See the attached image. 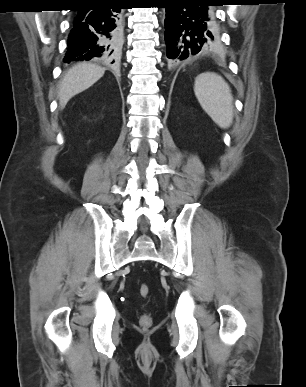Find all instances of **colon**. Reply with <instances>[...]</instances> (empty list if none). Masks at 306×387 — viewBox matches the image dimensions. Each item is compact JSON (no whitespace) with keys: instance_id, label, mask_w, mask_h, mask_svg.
Listing matches in <instances>:
<instances>
[{"instance_id":"1","label":"colon","mask_w":306,"mask_h":387,"mask_svg":"<svg viewBox=\"0 0 306 387\" xmlns=\"http://www.w3.org/2000/svg\"><path fill=\"white\" fill-rule=\"evenodd\" d=\"M150 293V288L147 284L145 283H142L140 286H139V294L146 298ZM152 323H153V320H152V317L151 315L149 314H143L140 319H139V324L141 327L147 329V328H150L152 326Z\"/></svg>"}]
</instances>
